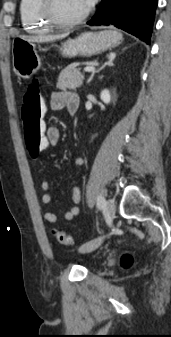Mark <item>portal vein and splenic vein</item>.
Instances as JSON below:
<instances>
[{"instance_id":"obj_1","label":"portal vein and splenic vein","mask_w":171,"mask_h":337,"mask_svg":"<svg viewBox=\"0 0 171 337\" xmlns=\"http://www.w3.org/2000/svg\"><path fill=\"white\" fill-rule=\"evenodd\" d=\"M94 70H95V68L93 66H88V67L84 68V72H92Z\"/></svg>"}]
</instances>
